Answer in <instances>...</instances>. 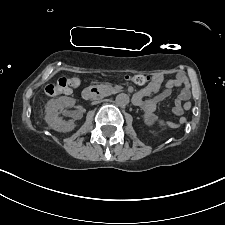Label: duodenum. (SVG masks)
Masks as SVG:
<instances>
[{"label": "duodenum", "instance_id": "1", "mask_svg": "<svg viewBox=\"0 0 225 225\" xmlns=\"http://www.w3.org/2000/svg\"><path fill=\"white\" fill-rule=\"evenodd\" d=\"M99 95H100V92L97 89L90 88V87L85 88L82 92V96L86 100H91ZM134 101H135V97H134Z\"/></svg>", "mask_w": 225, "mask_h": 225}]
</instances>
